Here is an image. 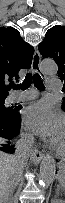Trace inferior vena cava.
<instances>
[{"label": "inferior vena cava", "instance_id": "obj_1", "mask_svg": "<svg viewBox=\"0 0 65 203\" xmlns=\"http://www.w3.org/2000/svg\"><path fill=\"white\" fill-rule=\"evenodd\" d=\"M34 139L30 136L22 137L16 143L15 158L17 160V167L15 169L16 175L12 182V190L16 186L17 177L22 174L26 160L29 158L30 152L32 150V144ZM2 203H8V198L2 200Z\"/></svg>", "mask_w": 65, "mask_h": 203}]
</instances>
